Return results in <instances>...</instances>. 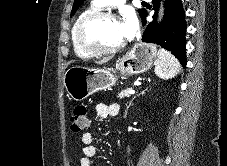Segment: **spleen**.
Instances as JSON below:
<instances>
[{
    "label": "spleen",
    "mask_w": 227,
    "mask_h": 166,
    "mask_svg": "<svg viewBox=\"0 0 227 166\" xmlns=\"http://www.w3.org/2000/svg\"><path fill=\"white\" fill-rule=\"evenodd\" d=\"M157 57L154 71L159 78L165 80L171 79L180 72V64L171 52L165 49H159Z\"/></svg>",
    "instance_id": "spleen-1"
}]
</instances>
